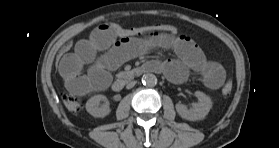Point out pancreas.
Masks as SVG:
<instances>
[{
	"mask_svg": "<svg viewBox=\"0 0 279 148\" xmlns=\"http://www.w3.org/2000/svg\"><path fill=\"white\" fill-rule=\"evenodd\" d=\"M132 76V73L130 71L120 72L117 77L119 78H129Z\"/></svg>",
	"mask_w": 279,
	"mask_h": 148,
	"instance_id": "cf45deb5",
	"label": "pancreas"
}]
</instances>
